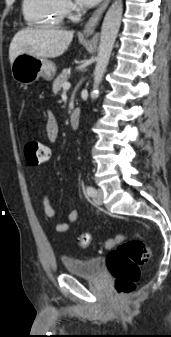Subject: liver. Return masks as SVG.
I'll return each instance as SVG.
<instances>
[{
    "mask_svg": "<svg viewBox=\"0 0 171 337\" xmlns=\"http://www.w3.org/2000/svg\"><path fill=\"white\" fill-rule=\"evenodd\" d=\"M73 31L54 28H27L19 31L13 37L9 47V60L12 64L15 58L28 53L41 58H55L62 55L73 39Z\"/></svg>",
    "mask_w": 171,
    "mask_h": 337,
    "instance_id": "1",
    "label": "liver"
}]
</instances>
